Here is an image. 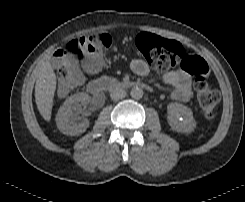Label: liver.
I'll use <instances>...</instances> for the list:
<instances>
[{
    "label": "liver",
    "mask_w": 245,
    "mask_h": 202,
    "mask_svg": "<svg viewBox=\"0 0 245 202\" xmlns=\"http://www.w3.org/2000/svg\"><path fill=\"white\" fill-rule=\"evenodd\" d=\"M56 90V75L49 64L45 62L39 69L38 78L35 85V101L41 116L50 121L53 99Z\"/></svg>",
    "instance_id": "1"
}]
</instances>
